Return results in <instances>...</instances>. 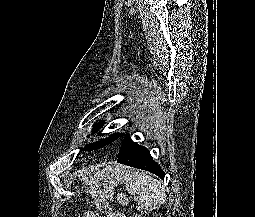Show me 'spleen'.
Listing matches in <instances>:
<instances>
[{"instance_id":"obj_1","label":"spleen","mask_w":255,"mask_h":217,"mask_svg":"<svg viewBox=\"0 0 255 217\" xmlns=\"http://www.w3.org/2000/svg\"><path fill=\"white\" fill-rule=\"evenodd\" d=\"M112 179L125 184L126 190L131 195H137V204L141 209L152 211L158 209L166 200L165 188L159 180L146 172L133 170L122 165L109 168ZM124 203L128 200L121 195Z\"/></svg>"}]
</instances>
